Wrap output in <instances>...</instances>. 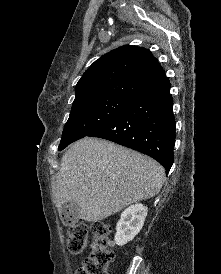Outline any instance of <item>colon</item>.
<instances>
[{
  "instance_id": "1",
  "label": "colon",
  "mask_w": 221,
  "mask_h": 274,
  "mask_svg": "<svg viewBox=\"0 0 221 274\" xmlns=\"http://www.w3.org/2000/svg\"><path fill=\"white\" fill-rule=\"evenodd\" d=\"M67 232L68 251L73 255L81 254L87 245L88 226L83 222L70 223ZM91 232L90 253L76 274H107V268L114 259V253L111 250V228L103 222H94L91 225Z\"/></svg>"
}]
</instances>
